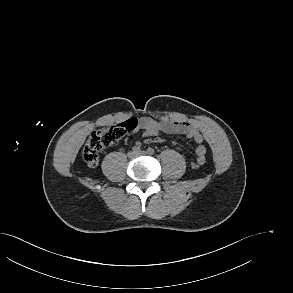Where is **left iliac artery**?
I'll list each match as a JSON object with an SVG mask.
<instances>
[{"mask_svg": "<svg viewBox=\"0 0 293 293\" xmlns=\"http://www.w3.org/2000/svg\"><path fill=\"white\" fill-rule=\"evenodd\" d=\"M147 153H148L149 155H153V154L155 153V151H154L153 148L149 147V148L147 149Z\"/></svg>", "mask_w": 293, "mask_h": 293, "instance_id": "obj_1", "label": "left iliac artery"}]
</instances>
